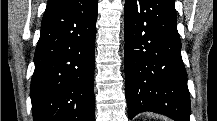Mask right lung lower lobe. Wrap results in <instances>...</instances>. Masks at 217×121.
I'll use <instances>...</instances> for the list:
<instances>
[{"label":"right lung lower lobe","instance_id":"1","mask_svg":"<svg viewBox=\"0 0 217 121\" xmlns=\"http://www.w3.org/2000/svg\"><path fill=\"white\" fill-rule=\"evenodd\" d=\"M98 0L48 5L31 80L34 121H94Z\"/></svg>","mask_w":217,"mask_h":121}]
</instances>
